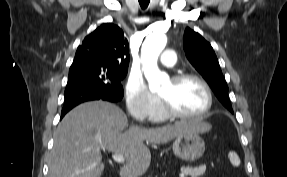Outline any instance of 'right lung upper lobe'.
<instances>
[{
    "instance_id": "right-lung-upper-lobe-1",
    "label": "right lung upper lobe",
    "mask_w": 287,
    "mask_h": 177,
    "mask_svg": "<svg viewBox=\"0 0 287 177\" xmlns=\"http://www.w3.org/2000/svg\"><path fill=\"white\" fill-rule=\"evenodd\" d=\"M129 59L123 31L113 23H104L85 37L72 64H102L127 71Z\"/></svg>"
}]
</instances>
